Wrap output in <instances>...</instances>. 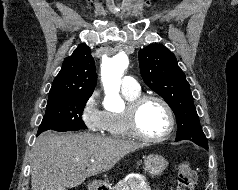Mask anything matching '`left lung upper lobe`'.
Here are the masks:
<instances>
[{"label": "left lung upper lobe", "instance_id": "1", "mask_svg": "<svg viewBox=\"0 0 238 190\" xmlns=\"http://www.w3.org/2000/svg\"><path fill=\"white\" fill-rule=\"evenodd\" d=\"M139 64L145 83L167 102L176 116V141L190 140L208 148L189 83L174 54L161 44H152L139 51Z\"/></svg>", "mask_w": 238, "mask_h": 190}]
</instances>
